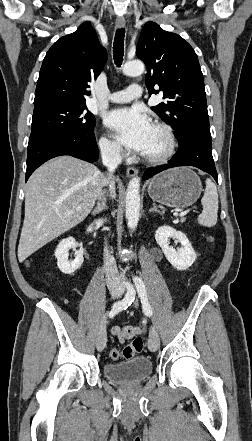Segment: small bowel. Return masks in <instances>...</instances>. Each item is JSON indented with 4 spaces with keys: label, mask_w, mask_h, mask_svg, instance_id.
I'll return each mask as SVG.
<instances>
[{
    "label": "small bowel",
    "mask_w": 252,
    "mask_h": 441,
    "mask_svg": "<svg viewBox=\"0 0 252 441\" xmlns=\"http://www.w3.org/2000/svg\"><path fill=\"white\" fill-rule=\"evenodd\" d=\"M111 334L123 343L126 340L141 334V329L135 326L127 325L124 327L113 326L110 330Z\"/></svg>",
    "instance_id": "1"
}]
</instances>
